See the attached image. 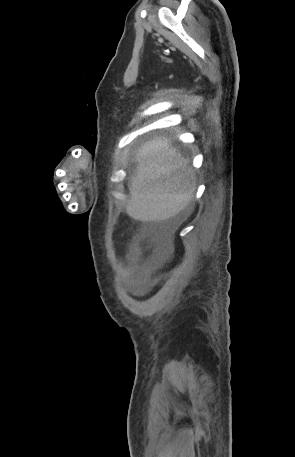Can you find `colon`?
Returning <instances> with one entry per match:
<instances>
[{
	"label": "colon",
	"mask_w": 295,
	"mask_h": 457,
	"mask_svg": "<svg viewBox=\"0 0 295 457\" xmlns=\"http://www.w3.org/2000/svg\"><path fill=\"white\" fill-rule=\"evenodd\" d=\"M138 251V246L137 244H134V252H137Z\"/></svg>",
	"instance_id": "obj_1"
}]
</instances>
